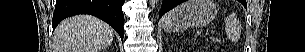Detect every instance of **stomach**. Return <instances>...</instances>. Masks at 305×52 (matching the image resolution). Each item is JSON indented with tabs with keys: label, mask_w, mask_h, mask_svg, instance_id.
Instances as JSON below:
<instances>
[{
	"label": "stomach",
	"mask_w": 305,
	"mask_h": 52,
	"mask_svg": "<svg viewBox=\"0 0 305 52\" xmlns=\"http://www.w3.org/2000/svg\"><path fill=\"white\" fill-rule=\"evenodd\" d=\"M217 14L212 0H188L168 12L162 20L163 28L170 32H183L210 23Z\"/></svg>",
	"instance_id": "0dacf381"
}]
</instances>
